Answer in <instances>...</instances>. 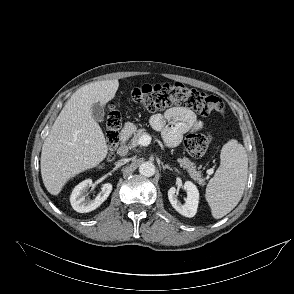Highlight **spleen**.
<instances>
[{"instance_id": "1", "label": "spleen", "mask_w": 294, "mask_h": 294, "mask_svg": "<svg viewBox=\"0 0 294 294\" xmlns=\"http://www.w3.org/2000/svg\"><path fill=\"white\" fill-rule=\"evenodd\" d=\"M221 163L206 187V200L214 218L233 210L243 195L248 173V158L243 145L232 139L221 150Z\"/></svg>"}]
</instances>
